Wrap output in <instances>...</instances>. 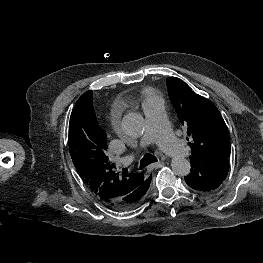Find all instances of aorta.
<instances>
[{"mask_svg":"<svg viewBox=\"0 0 263 263\" xmlns=\"http://www.w3.org/2000/svg\"><path fill=\"white\" fill-rule=\"evenodd\" d=\"M124 133L132 138L142 136L145 129V121L141 114L136 112L127 113L122 119ZM173 172L178 176H186L190 173L191 164L184 157H176L171 162Z\"/></svg>","mask_w":263,"mask_h":263,"instance_id":"obj_1","label":"aorta"}]
</instances>
